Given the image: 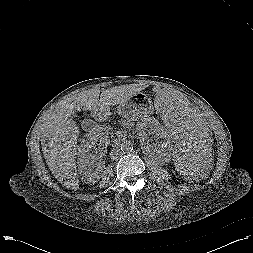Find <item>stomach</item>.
<instances>
[{
  "mask_svg": "<svg viewBox=\"0 0 253 253\" xmlns=\"http://www.w3.org/2000/svg\"><path fill=\"white\" fill-rule=\"evenodd\" d=\"M153 109L151 98L140 92L117 106L118 113L129 121H139L151 115Z\"/></svg>",
  "mask_w": 253,
  "mask_h": 253,
  "instance_id": "0dacf381",
  "label": "stomach"
}]
</instances>
